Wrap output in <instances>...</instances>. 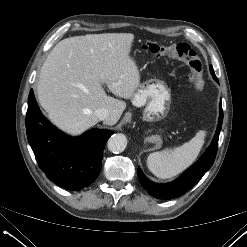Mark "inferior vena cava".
<instances>
[{
	"mask_svg": "<svg viewBox=\"0 0 247 247\" xmlns=\"http://www.w3.org/2000/svg\"><path fill=\"white\" fill-rule=\"evenodd\" d=\"M95 115L99 120H106L109 117V110L105 107L98 108L95 110Z\"/></svg>",
	"mask_w": 247,
	"mask_h": 247,
	"instance_id": "inferior-vena-cava-1",
	"label": "inferior vena cava"
}]
</instances>
